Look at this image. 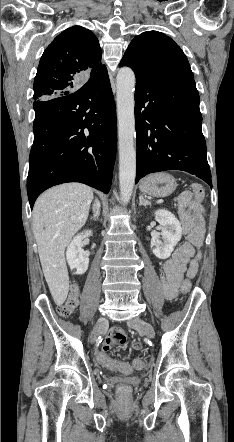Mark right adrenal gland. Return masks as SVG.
<instances>
[{"mask_svg":"<svg viewBox=\"0 0 234 442\" xmlns=\"http://www.w3.org/2000/svg\"><path fill=\"white\" fill-rule=\"evenodd\" d=\"M93 216L90 218L91 220H98L99 216H100V211H101V204L100 201L95 198V202L93 204Z\"/></svg>","mask_w":234,"mask_h":442,"instance_id":"right-adrenal-gland-1","label":"right adrenal gland"}]
</instances>
